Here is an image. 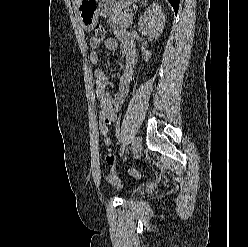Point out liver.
I'll return each mask as SVG.
<instances>
[{
	"label": "liver",
	"mask_w": 248,
	"mask_h": 247,
	"mask_svg": "<svg viewBox=\"0 0 248 247\" xmlns=\"http://www.w3.org/2000/svg\"><path fill=\"white\" fill-rule=\"evenodd\" d=\"M81 2V0H73V4H74V10L77 9V5Z\"/></svg>",
	"instance_id": "1"
}]
</instances>
